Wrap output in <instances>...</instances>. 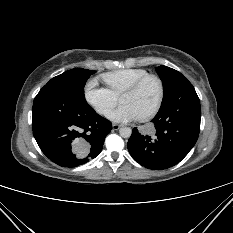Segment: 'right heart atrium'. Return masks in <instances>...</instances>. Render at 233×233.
Masks as SVG:
<instances>
[{
	"instance_id": "right-heart-atrium-1",
	"label": "right heart atrium",
	"mask_w": 233,
	"mask_h": 233,
	"mask_svg": "<svg viewBox=\"0 0 233 233\" xmlns=\"http://www.w3.org/2000/svg\"><path fill=\"white\" fill-rule=\"evenodd\" d=\"M84 97L87 103L102 116H107L117 103V96L108 88L99 86L95 79L86 83Z\"/></svg>"
}]
</instances>
